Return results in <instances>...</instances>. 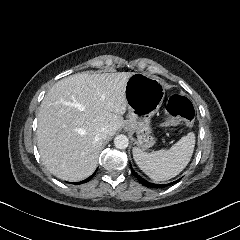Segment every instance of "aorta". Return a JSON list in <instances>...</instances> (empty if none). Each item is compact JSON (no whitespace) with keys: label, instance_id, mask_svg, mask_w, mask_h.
Returning a JSON list of instances; mask_svg holds the SVG:
<instances>
[{"label":"aorta","instance_id":"762f6f07","mask_svg":"<svg viewBox=\"0 0 240 240\" xmlns=\"http://www.w3.org/2000/svg\"><path fill=\"white\" fill-rule=\"evenodd\" d=\"M129 144V140L126 135L119 134L114 138V145L119 149H125Z\"/></svg>","mask_w":240,"mask_h":240}]
</instances>
